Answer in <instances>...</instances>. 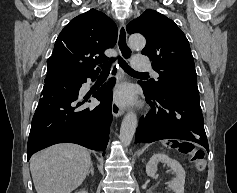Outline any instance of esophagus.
Instances as JSON below:
<instances>
[{
    "label": "esophagus",
    "mask_w": 237,
    "mask_h": 193,
    "mask_svg": "<svg viewBox=\"0 0 237 193\" xmlns=\"http://www.w3.org/2000/svg\"><path fill=\"white\" fill-rule=\"evenodd\" d=\"M117 47L123 59L128 60L132 55V49L129 47L127 42V31L123 22L120 23L118 29V39H117ZM120 81L125 79V76L122 71L119 73ZM112 114L114 117H119L124 114V109L118 103V101L114 98L112 103Z\"/></svg>",
    "instance_id": "esophagus-1"
}]
</instances>
